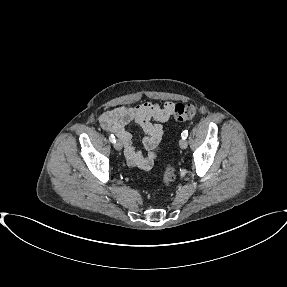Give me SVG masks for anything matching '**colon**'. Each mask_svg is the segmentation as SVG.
I'll list each match as a JSON object with an SVG mask.
<instances>
[{
	"label": "colon",
	"mask_w": 287,
	"mask_h": 287,
	"mask_svg": "<svg viewBox=\"0 0 287 287\" xmlns=\"http://www.w3.org/2000/svg\"><path fill=\"white\" fill-rule=\"evenodd\" d=\"M197 111L196 108L191 104H177L174 107V119L176 122H182L190 120L195 117ZM176 174L173 166L169 165L166 167L162 181L165 185L171 184L175 180Z\"/></svg>",
	"instance_id": "obj_1"
}]
</instances>
